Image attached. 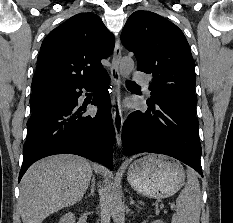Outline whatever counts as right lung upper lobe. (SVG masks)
I'll list each match as a JSON object with an SVG mask.
<instances>
[{
  "label": "right lung upper lobe",
  "instance_id": "1",
  "mask_svg": "<svg viewBox=\"0 0 233 223\" xmlns=\"http://www.w3.org/2000/svg\"><path fill=\"white\" fill-rule=\"evenodd\" d=\"M114 36L91 12L77 14L52 30L43 40L32 79V94L84 84L105 72L101 60L114 49Z\"/></svg>",
  "mask_w": 233,
  "mask_h": 223
}]
</instances>
